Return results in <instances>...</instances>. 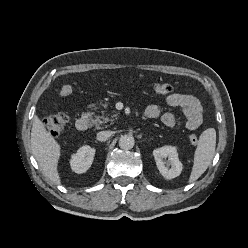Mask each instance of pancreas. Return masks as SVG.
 <instances>
[{
  "label": "pancreas",
  "mask_w": 248,
  "mask_h": 248,
  "mask_svg": "<svg viewBox=\"0 0 248 248\" xmlns=\"http://www.w3.org/2000/svg\"><path fill=\"white\" fill-rule=\"evenodd\" d=\"M117 115L113 114L111 115V118H109L108 116H102L101 119L98 120V123L96 124V128L100 129L102 124L107 123L109 121H113V118L116 119Z\"/></svg>",
  "instance_id": "obj_1"
}]
</instances>
